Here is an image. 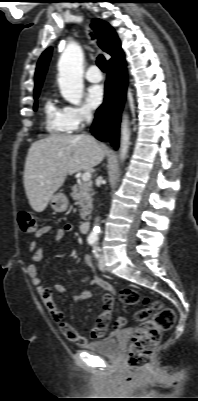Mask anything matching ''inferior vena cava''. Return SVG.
<instances>
[{
	"label": "inferior vena cava",
	"mask_w": 198,
	"mask_h": 401,
	"mask_svg": "<svg viewBox=\"0 0 198 401\" xmlns=\"http://www.w3.org/2000/svg\"><path fill=\"white\" fill-rule=\"evenodd\" d=\"M84 118H85V120H86L87 123H90V122H91V120H92V113H91L90 110H86V111L84 112ZM84 135H86V136H88V137H92V136H90V135H88V134H84Z\"/></svg>",
	"instance_id": "602c4592"
}]
</instances>
